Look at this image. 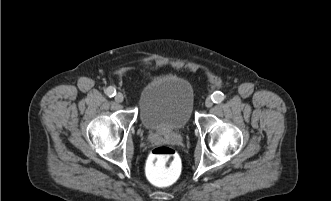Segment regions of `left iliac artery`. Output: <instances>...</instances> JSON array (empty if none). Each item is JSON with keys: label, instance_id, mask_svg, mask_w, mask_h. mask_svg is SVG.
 <instances>
[{"label": "left iliac artery", "instance_id": "obj_1", "mask_svg": "<svg viewBox=\"0 0 331 201\" xmlns=\"http://www.w3.org/2000/svg\"><path fill=\"white\" fill-rule=\"evenodd\" d=\"M211 98L214 103H221L224 100L225 96L222 92L216 91L211 95Z\"/></svg>", "mask_w": 331, "mask_h": 201}]
</instances>
